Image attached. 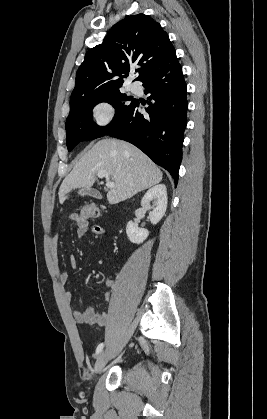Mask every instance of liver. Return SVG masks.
Masks as SVG:
<instances>
[{
    "mask_svg": "<svg viewBox=\"0 0 267 419\" xmlns=\"http://www.w3.org/2000/svg\"><path fill=\"white\" fill-rule=\"evenodd\" d=\"M105 170L114 181L107 199L117 204L161 182V170L137 147L122 140L103 139L94 144L63 180L59 189L62 204L76 188L90 189L96 174Z\"/></svg>",
    "mask_w": 267,
    "mask_h": 419,
    "instance_id": "1",
    "label": "liver"
}]
</instances>
